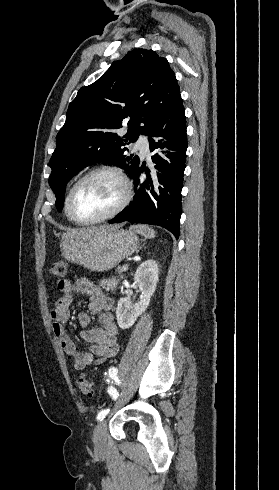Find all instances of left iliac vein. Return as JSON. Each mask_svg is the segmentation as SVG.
I'll list each match as a JSON object with an SVG mask.
<instances>
[{
    "instance_id": "left-iliac-vein-1",
    "label": "left iliac vein",
    "mask_w": 279,
    "mask_h": 490,
    "mask_svg": "<svg viewBox=\"0 0 279 490\" xmlns=\"http://www.w3.org/2000/svg\"><path fill=\"white\" fill-rule=\"evenodd\" d=\"M107 443V424L105 420H100L94 430V451L102 453Z\"/></svg>"
}]
</instances>
